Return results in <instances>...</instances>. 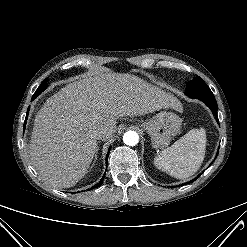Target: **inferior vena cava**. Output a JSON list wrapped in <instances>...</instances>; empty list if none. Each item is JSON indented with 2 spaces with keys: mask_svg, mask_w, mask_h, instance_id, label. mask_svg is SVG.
I'll list each match as a JSON object with an SVG mask.
<instances>
[{
  "mask_svg": "<svg viewBox=\"0 0 247 247\" xmlns=\"http://www.w3.org/2000/svg\"><path fill=\"white\" fill-rule=\"evenodd\" d=\"M106 136V131L102 129L94 130L92 133V137L95 139H103Z\"/></svg>",
  "mask_w": 247,
  "mask_h": 247,
  "instance_id": "obj_1",
  "label": "inferior vena cava"
}]
</instances>
